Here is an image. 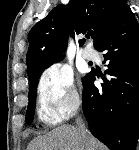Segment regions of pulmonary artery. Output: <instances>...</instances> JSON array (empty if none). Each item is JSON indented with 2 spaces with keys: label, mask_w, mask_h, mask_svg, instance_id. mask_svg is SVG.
<instances>
[{
  "label": "pulmonary artery",
  "mask_w": 139,
  "mask_h": 150,
  "mask_svg": "<svg viewBox=\"0 0 139 150\" xmlns=\"http://www.w3.org/2000/svg\"><path fill=\"white\" fill-rule=\"evenodd\" d=\"M82 57L87 60H94L96 58V53L91 48H85L82 51Z\"/></svg>",
  "instance_id": "pulmonary-artery-1"
}]
</instances>
